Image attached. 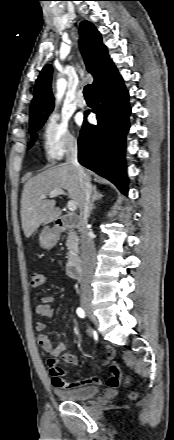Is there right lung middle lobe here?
<instances>
[{
  "mask_svg": "<svg viewBox=\"0 0 174 440\" xmlns=\"http://www.w3.org/2000/svg\"><path fill=\"white\" fill-rule=\"evenodd\" d=\"M45 120L39 121L37 123H34L32 125H30V133H32V140L31 142L28 144V147H31L32 144L34 143L35 139H36V131H38L44 124Z\"/></svg>",
  "mask_w": 174,
  "mask_h": 440,
  "instance_id": "1",
  "label": "right lung middle lobe"
}]
</instances>
